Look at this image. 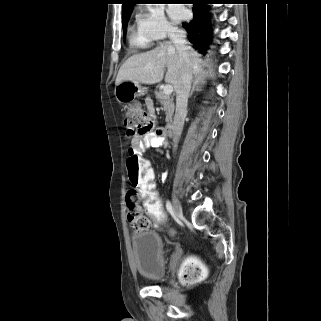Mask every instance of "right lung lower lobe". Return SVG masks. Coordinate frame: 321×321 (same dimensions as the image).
I'll list each match as a JSON object with an SVG mask.
<instances>
[{"label":"right lung lower lobe","mask_w":321,"mask_h":321,"mask_svg":"<svg viewBox=\"0 0 321 321\" xmlns=\"http://www.w3.org/2000/svg\"><path fill=\"white\" fill-rule=\"evenodd\" d=\"M194 4L193 19L189 22L182 23L183 28L188 33V39L194 44V47L203 50L205 53L211 43V25L209 13L206 4L212 3L213 0H191Z\"/></svg>","instance_id":"obj_1"}]
</instances>
